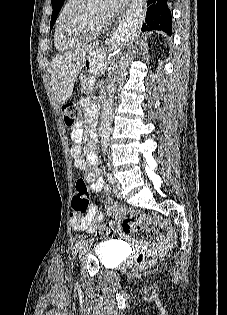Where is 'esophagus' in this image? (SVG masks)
<instances>
[{
  "label": "esophagus",
  "mask_w": 227,
  "mask_h": 315,
  "mask_svg": "<svg viewBox=\"0 0 227 315\" xmlns=\"http://www.w3.org/2000/svg\"><path fill=\"white\" fill-rule=\"evenodd\" d=\"M130 10H131V5L129 4L128 7H127L126 12H124L122 14L121 18L119 19V25H121L124 22V20L126 18V14L129 13ZM116 32H117V27L112 30L110 35H108V38L106 39V42H111L113 40V38L115 37Z\"/></svg>",
  "instance_id": "obj_1"
}]
</instances>
